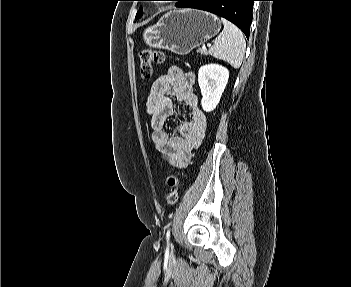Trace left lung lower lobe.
I'll list each match as a JSON object with an SVG mask.
<instances>
[{"label": "left lung lower lobe", "instance_id": "1", "mask_svg": "<svg viewBox=\"0 0 351 287\" xmlns=\"http://www.w3.org/2000/svg\"><path fill=\"white\" fill-rule=\"evenodd\" d=\"M256 0H181L180 8H195L221 16L237 25L249 37L252 8Z\"/></svg>", "mask_w": 351, "mask_h": 287}]
</instances>
